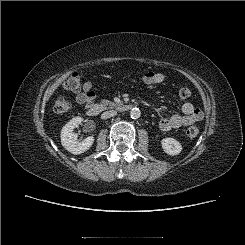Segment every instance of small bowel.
<instances>
[{
    "label": "small bowel",
    "instance_id": "c3829d8e",
    "mask_svg": "<svg viewBox=\"0 0 245 245\" xmlns=\"http://www.w3.org/2000/svg\"><path fill=\"white\" fill-rule=\"evenodd\" d=\"M164 80V76L161 73L149 71L146 72L143 77V83L147 85L160 84ZM95 93L93 91V85L91 82H85L83 84V90L76 96V102L80 105H89L93 102ZM203 118L201 109L195 107L190 102H185L182 105V114H173L168 117H164L160 120L159 127L162 131H170L183 126L192 125Z\"/></svg>",
    "mask_w": 245,
    "mask_h": 245
}]
</instances>
